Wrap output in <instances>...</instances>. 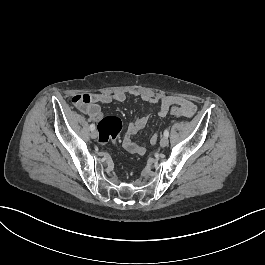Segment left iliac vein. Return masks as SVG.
<instances>
[{
  "label": "left iliac vein",
  "instance_id": "obj_1",
  "mask_svg": "<svg viewBox=\"0 0 265 265\" xmlns=\"http://www.w3.org/2000/svg\"><path fill=\"white\" fill-rule=\"evenodd\" d=\"M167 145H168V138L164 136L160 140V146L161 147H166Z\"/></svg>",
  "mask_w": 265,
  "mask_h": 265
}]
</instances>
